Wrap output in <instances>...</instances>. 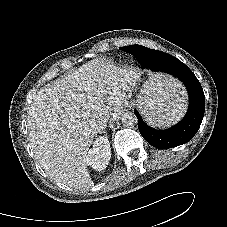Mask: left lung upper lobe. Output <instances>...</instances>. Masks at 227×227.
Returning <instances> with one entry per match:
<instances>
[{
    "mask_svg": "<svg viewBox=\"0 0 227 227\" xmlns=\"http://www.w3.org/2000/svg\"><path fill=\"white\" fill-rule=\"evenodd\" d=\"M132 46H134V45H132ZM132 46H125V47H122L121 49H122L123 51L127 52V53H130V52H128V50H129L130 47H132ZM165 55L168 57V59H169V58H175V57H173V56H171V55H169V54H166V53H165Z\"/></svg>",
    "mask_w": 227,
    "mask_h": 227,
    "instance_id": "1",
    "label": "left lung upper lobe"
}]
</instances>
